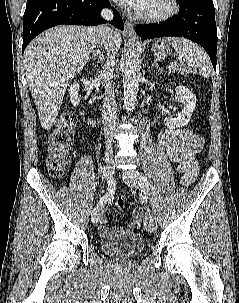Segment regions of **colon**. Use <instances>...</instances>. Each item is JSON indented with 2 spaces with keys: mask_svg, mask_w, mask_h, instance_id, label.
I'll return each mask as SVG.
<instances>
[{
  "mask_svg": "<svg viewBox=\"0 0 239 303\" xmlns=\"http://www.w3.org/2000/svg\"><path fill=\"white\" fill-rule=\"evenodd\" d=\"M75 124V115L72 112L65 113L57 121L48 137L45 162L48 172L56 179L63 178L69 164ZM125 207L126 200L123 197H118L116 208L122 211ZM135 223L139 225V219L136 218Z\"/></svg>",
  "mask_w": 239,
  "mask_h": 303,
  "instance_id": "colon-1",
  "label": "colon"
}]
</instances>
